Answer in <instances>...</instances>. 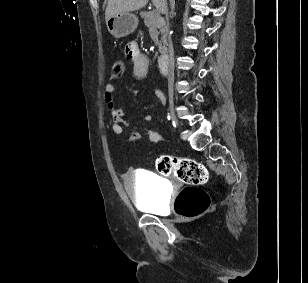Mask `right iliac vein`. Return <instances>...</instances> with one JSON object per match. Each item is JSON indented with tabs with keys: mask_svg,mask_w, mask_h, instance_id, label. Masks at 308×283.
<instances>
[{
	"mask_svg": "<svg viewBox=\"0 0 308 283\" xmlns=\"http://www.w3.org/2000/svg\"><path fill=\"white\" fill-rule=\"evenodd\" d=\"M169 109H170L172 121L174 122V124L177 125L178 121H177L175 113H174V103H173L172 99H170V101H169Z\"/></svg>",
	"mask_w": 308,
	"mask_h": 283,
	"instance_id": "right-iliac-vein-1",
	"label": "right iliac vein"
}]
</instances>
